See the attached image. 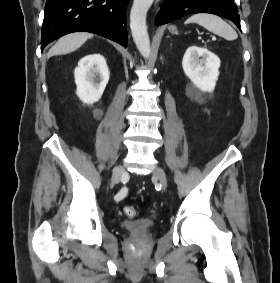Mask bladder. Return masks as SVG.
<instances>
[{
  "label": "bladder",
  "instance_id": "1",
  "mask_svg": "<svg viewBox=\"0 0 280 283\" xmlns=\"http://www.w3.org/2000/svg\"><path fill=\"white\" fill-rule=\"evenodd\" d=\"M119 227L133 235H144L151 232L154 228V223L151 220L139 219L134 221L120 222Z\"/></svg>",
  "mask_w": 280,
  "mask_h": 283
}]
</instances>
